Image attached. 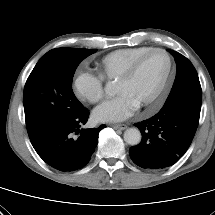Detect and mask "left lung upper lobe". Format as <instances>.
<instances>
[{
	"instance_id": "left-lung-upper-lobe-1",
	"label": "left lung upper lobe",
	"mask_w": 215,
	"mask_h": 215,
	"mask_svg": "<svg viewBox=\"0 0 215 215\" xmlns=\"http://www.w3.org/2000/svg\"><path fill=\"white\" fill-rule=\"evenodd\" d=\"M176 60L177 71L171 92L162 108L182 104L200 113L202 90L198 74L192 63L176 51L169 50Z\"/></svg>"
}]
</instances>
